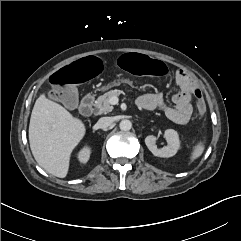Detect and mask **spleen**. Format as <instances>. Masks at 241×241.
Instances as JSON below:
<instances>
[{
  "label": "spleen",
  "instance_id": "1",
  "mask_svg": "<svg viewBox=\"0 0 241 241\" xmlns=\"http://www.w3.org/2000/svg\"><path fill=\"white\" fill-rule=\"evenodd\" d=\"M205 149V145L204 143L200 142L198 143L194 148H193V151L191 153V156H190V161L193 162L194 160H196L197 158H199L203 151Z\"/></svg>",
  "mask_w": 241,
  "mask_h": 241
}]
</instances>
